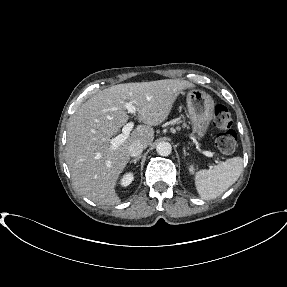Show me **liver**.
Segmentation results:
<instances>
[{
    "label": "liver",
    "mask_w": 287,
    "mask_h": 287,
    "mask_svg": "<svg viewBox=\"0 0 287 287\" xmlns=\"http://www.w3.org/2000/svg\"><path fill=\"white\" fill-rule=\"evenodd\" d=\"M188 88L193 85L180 79L124 83L101 90L82 104L67 124L66 163L77 192L101 206L119 204L115 187L130 159V145H150L153 126L168 117L178 95ZM127 102L136 106L144 124L113 149L111 137L129 120Z\"/></svg>",
    "instance_id": "1"
}]
</instances>
